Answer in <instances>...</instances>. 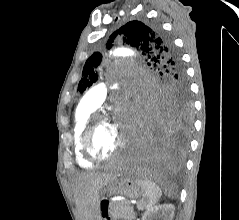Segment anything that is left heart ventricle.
Segmentation results:
<instances>
[{
    "mask_svg": "<svg viewBox=\"0 0 239 220\" xmlns=\"http://www.w3.org/2000/svg\"><path fill=\"white\" fill-rule=\"evenodd\" d=\"M120 137L115 123L111 121L99 123L93 133V151L99 156L110 154L116 148Z\"/></svg>",
    "mask_w": 239,
    "mask_h": 220,
    "instance_id": "b2bd125f",
    "label": "left heart ventricle"
}]
</instances>
